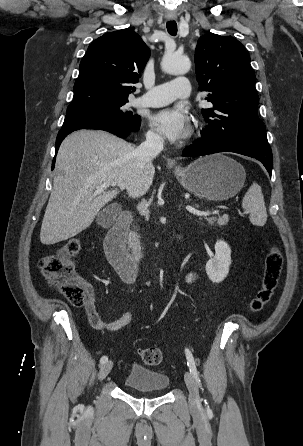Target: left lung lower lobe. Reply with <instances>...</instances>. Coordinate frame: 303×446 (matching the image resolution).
Listing matches in <instances>:
<instances>
[{
	"instance_id": "obj_1",
	"label": "left lung lower lobe",
	"mask_w": 303,
	"mask_h": 446,
	"mask_svg": "<svg viewBox=\"0 0 303 446\" xmlns=\"http://www.w3.org/2000/svg\"><path fill=\"white\" fill-rule=\"evenodd\" d=\"M218 152H234L256 158L263 163L269 172V175H271L273 159L271 149L267 145L230 140L215 141L201 139L185 148L183 151V156L196 157Z\"/></svg>"
}]
</instances>
